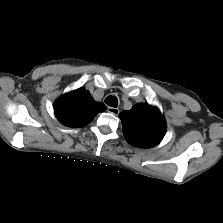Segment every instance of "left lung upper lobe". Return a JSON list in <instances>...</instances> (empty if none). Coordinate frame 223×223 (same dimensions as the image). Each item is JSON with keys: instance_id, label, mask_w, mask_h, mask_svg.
<instances>
[{"instance_id": "5c2ea615", "label": "left lung upper lobe", "mask_w": 223, "mask_h": 223, "mask_svg": "<svg viewBox=\"0 0 223 223\" xmlns=\"http://www.w3.org/2000/svg\"><path fill=\"white\" fill-rule=\"evenodd\" d=\"M119 117L125 139L136 147L156 146L166 133L164 118L155 107L149 104H136L130 111L121 112Z\"/></svg>"}]
</instances>
